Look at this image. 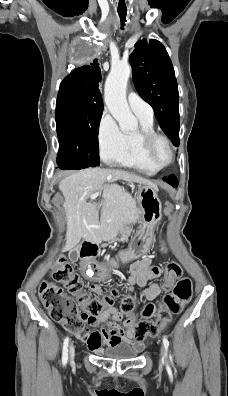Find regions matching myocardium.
I'll use <instances>...</instances> for the list:
<instances>
[{
	"label": "myocardium",
	"mask_w": 228,
	"mask_h": 396,
	"mask_svg": "<svg viewBox=\"0 0 228 396\" xmlns=\"http://www.w3.org/2000/svg\"><path fill=\"white\" fill-rule=\"evenodd\" d=\"M137 139L140 144V148L145 160L153 167L157 169H163L171 164L174 158L173 147L171 141L165 135H162L156 131L147 130L140 128L136 133ZM163 142L169 152V158L165 163H160L155 156V148L160 143Z\"/></svg>",
	"instance_id": "obj_1"
}]
</instances>
